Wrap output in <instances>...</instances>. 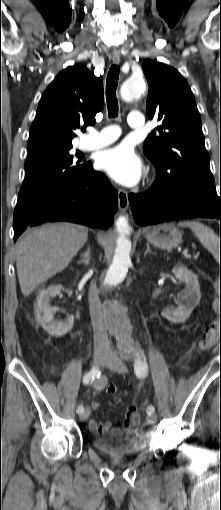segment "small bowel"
<instances>
[{
	"instance_id": "1",
	"label": "small bowel",
	"mask_w": 221,
	"mask_h": 510,
	"mask_svg": "<svg viewBox=\"0 0 221 510\" xmlns=\"http://www.w3.org/2000/svg\"><path fill=\"white\" fill-rule=\"evenodd\" d=\"M91 408L95 411L100 408V404L97 402L91 403ZM136 411L134 406L127 408V419L122 426L113 427L110 422L98 423L94 418L89 421V428L101 435H127L133 433L137 426L138 420L133 416V412Z\"/></svg>"
}]
</instances>
